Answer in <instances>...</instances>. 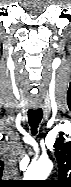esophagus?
<instances>
[{
  "instance_id": "obj_1",
  "label": "esophagus",
  "mask_w": 71,
  "mask_h": 187,
  "mask_svg": "<svg viewBox=\"0 0 71 187\" xmlns=\"http://www.w3.org/2000/svg\"><path fill=\"white\" fill-rule=\"evenodd\" d=\"M39 106L38 105H34L33 108L37 109Z\"/></svg>"
}]
</instances>
